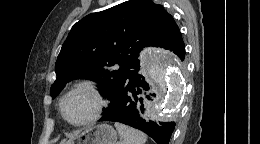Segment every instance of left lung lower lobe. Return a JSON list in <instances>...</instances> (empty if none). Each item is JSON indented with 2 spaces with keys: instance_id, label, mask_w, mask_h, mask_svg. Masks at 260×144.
I'll return each mask as SVG.
<instances>
[{
  "instance_id": "left-lung-lower-lobe-1",
  "label": "left lung lower lobe",
  "mask_w": 260,
  "mask_h": 144,
  "mask_svg": "<svg viewBox=\"0 0 260 144\" xmlns=\"http://www.w3.org/2000/svg\"><path fill=\"white\" fill-rule=\"evenodd\" d=\"M163 48L175 53L181 61L184 60L185 46L180 32ZM139 67V63H135L126 71L100 121L120 122L145 132L157 144H169L175 123L156 122L144 114L146 102L154 100L156 93L138 74Z\"/></svg>"
}]
</instances>
